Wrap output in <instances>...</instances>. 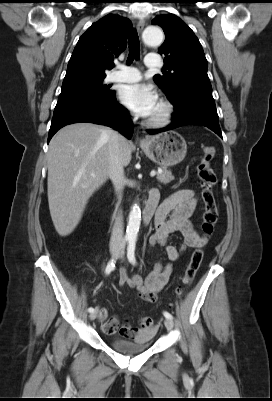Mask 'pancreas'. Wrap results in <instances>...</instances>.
<instances>
[{
    "mask_svg": "<svg viewBox=\"0 0 272 401\" xmlns=\"http://www.w3.org/2000/svg\"><path fill=\"white\" fill-rule=\"evenodd\" d=\"M157 180L163 184H168L172 180H174V176L172 175V172L170 170H167V167L163 166L162 167V172L157 173Z\"/></svg>",
    "mask_w": 272,
    "mask_h": 401,
    "instance_id": "1",
    "label": "pancreas"
}]
</instances>
